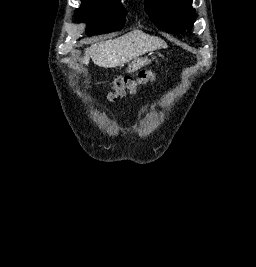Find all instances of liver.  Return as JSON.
Returning a JSON list of instances; mask_svg holds the SVG:
<instances>
[{
    "mask_svg": "<svg viewBox=\"0 0 256 267\" xmlns=\"http://www.w3.org/2000/svg\"><path fill=\"white\" fill-rule=\"evenodd\" d=\"M161 48H168L164 40L148 36L141 30H133V32H128L121 38L92 44L90 48L85 50L82 62L88 66L89 60L92 58L95 66L116 68V66H123L127 62H131V60H137L139 56H143L147 52L161 50Z\"/></svg>",
    "mask_w": 256,
    "mask_h": 267,
    "instance_id": "obj_1",
    "label": "liver"
}]
</instances>
